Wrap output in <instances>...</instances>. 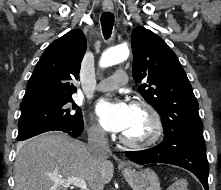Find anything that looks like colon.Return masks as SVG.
<instances>
[{
    "instance_id": "1",
    "label": "colon",
    "mask_w": 221,
    "mask_h": 190,
    "mask_svg": "<svg viewBox=\"0 0 221 190\" xmlns=\"http://www.w3.org/2000/svg\"><path fill=\"white\" fill-rule=\"evenodd\" d=\"M169 190H188V183L185 179H178L169 187Z\"/></svg>"
}]
</instances>
